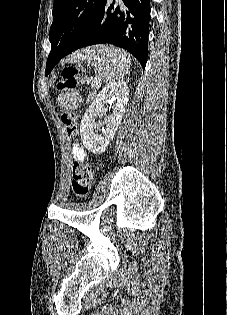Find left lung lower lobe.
I'll list each match as a JSON object with an SVG mask.
<instances>
[{"label": "left lung lower lobe", "mask_w": 227, "mask_h": 315, "mask_svg": "<svg viewBox=\"0 0 227 315\" xmlns=\"http://www.w3.org/2000/svg\"><path fill=\"white\" fill-rule=\"evenodd\" d=\"M123 7L114 6L115 0H104L94 19L81 36L68 48H60V41H51L45 74L56 63L73 51L94 44H113L129 51L145 68L148 56L150 0H122Z\"/></svg>", "instance_id": "1"}]
</instances>
